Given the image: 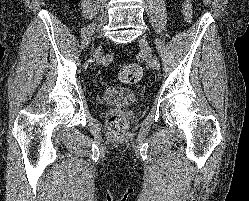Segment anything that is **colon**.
I'll return each instance as SVG.
<instances>
[{"mask_svg": "<svg viewBox=\"0 0 249 201\" xmlns=\"http://www.w3.org/2000/svg\"><path fill=\"white\" fill-rule=\"evenodd\" d=\"M183 12L187 20L192 14V0H185ZM142 77L141 68L134 63L124 64L119 70V78L127 84L137 83ZM108 128L116 139H124L128 129V119L123 114H113L108 118Z\"/></svg>", "mask_w": 249, "mask_h": 201, "instance_id": "obj_1", "label": "colon"}]
</instances>
